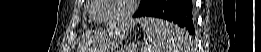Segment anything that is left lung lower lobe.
Here are the masks:
<instances>
[{
  "instance_id": "left-lung-lower-lobe-1",
  "label": "left lung lower lobe",
  "mask_w": 261,
  "mask_h": 52,
  "mask_svg": "<svg viewBox=\"0 0 261 52\" xmlns=\"http://www.w3.org/2000/svg\"><path fill=\"white\" fill-rule=\"evenodd\" d=\"M145 16L168 20L186 29L189 34H195L192 0H153L151 4L134 14V17Z\"/></svg>"
}]
</instances>
